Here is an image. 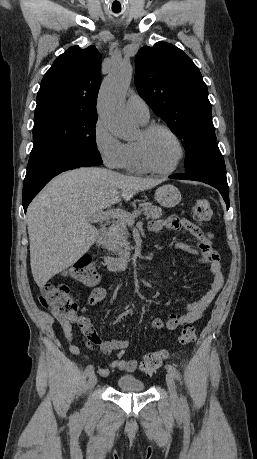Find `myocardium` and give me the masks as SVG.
Wrapping results in <instances>:
<instances>
[{"mask_svg": "<svg viewBox=\"0 0 257 459\" xmlns=\"http://www.w3.org/2000/svg\"><path fill=\"white\" fill-rule=\"evenodd\" d=\"M162 130L168 133L175 141V143L178 146L179 149V156L174 163V165L168 169H160L155 167L150 160L148 159L146 149H145V142L149 136H151L154 132ZM141 138L138 141H135V148L137 152L138 159L141 163V165L150 172L156 173V174H161V175H168L173 173L178 169V167L181 165L182 161L185 158V147L180 139V137L167 125L160 124V123H151L145 125L141 131Z\"/></svg>", "mask_w": 257, "mask_h": 459, "instance_id": "1", "label": "myocardium"}]
</instances>
